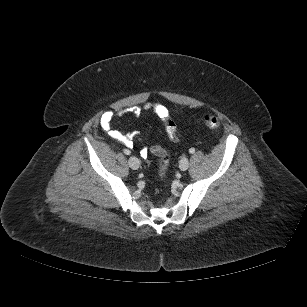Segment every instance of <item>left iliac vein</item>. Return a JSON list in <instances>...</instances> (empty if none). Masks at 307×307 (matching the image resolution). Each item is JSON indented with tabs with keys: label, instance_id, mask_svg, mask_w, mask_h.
<instances>
[{
	"label": "left iliac vein",
	"instance_id": "obj_1",
	"mask_svg": "<svg viewBox=\"0 0 307 307\" xmlns=\"http://www.w3.org/2000/svg\"><path fill=\"white\" fill-rule=\"evenodd\" d=\"M189 167V160L187 157H183L180 162H179V168L182 170V171H185L187 170Z\"/></svg>",
	"mask_w": 307,
	"mask_h": 307
}]
</instances>
